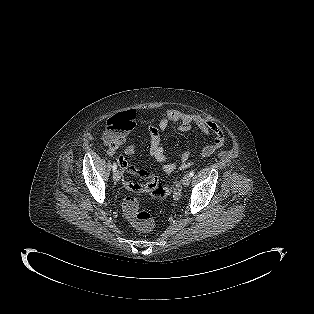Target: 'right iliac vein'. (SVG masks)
I'll return each mask as SVG.
<instances>
[{"mask_svg":"<svg viewBox=\"0 0 314 314\" xmlns=\"http://www.w3.org/2000/svg\"><path fill=\"white\" fill-rule=\"evenodd\" d=\"M114 181L118 182L121 179V173L119 171H115L113 174Z\"/></svg>","mask_w":314,"mask_h":314,"instance_id":"1","label":"right iliac vein"}]
</instances>
